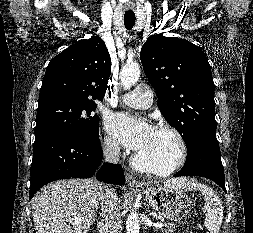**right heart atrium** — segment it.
<instances>
[{
    "label": "right heart atrium",
    "mask_w": 253,
    "mask_h": 233,
    "mask_svg": "<svg viewBox=\"0 0 253 233\" xmlns=\"http://www.w3.org/2000/svg\"><path fill=\"white\" fill-rule=\"evenodd\" d=\"M103 148L107 155L115 157L119 154L120 145L117 139L112 135H107L104 138Z\"/></svg>",
    "instance_id": "1"
}]
</instances>
